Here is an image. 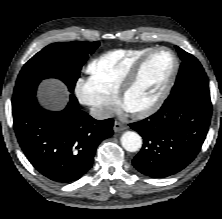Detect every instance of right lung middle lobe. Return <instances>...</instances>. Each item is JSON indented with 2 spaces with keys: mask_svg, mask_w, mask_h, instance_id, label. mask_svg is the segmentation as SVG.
<instances>
[{
  "mask_svg": "<svg viewBox=\"0 0 222 219\" xmlns=\"http://www.w3.org/2000/svg\"><path fill=\"white\" fill-rule=\"evenodd\" d=\"M99 42H61L46 46L22 68L16 81L12 106L35 97L41 80L57 78L73 91L82 65Z\"/></svg>",
  "mask_w": 222,
  "mask_h": 219,
  "instance_id": "obj_1",
  "label": "right lung middle lobe"
}]
</instances>
